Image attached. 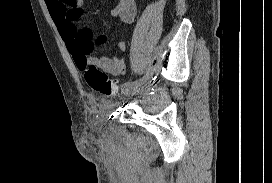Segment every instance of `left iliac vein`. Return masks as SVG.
<instances>
[{
	"label": "left iliac vein",
	"mask_w": 272,
	"mask_h": 183,
	"mask_svg": "<svg viewBox=\"0 0 272 183\" xmlns=\"http://www.w3.org/2000/svg\"><path fill=\"white\" fill-rule=\"evenodd\" d=\"M148 87H149V84L146 85L145 87H142V88H132V89H129V90L125 91V95H127V96H133V95L142 93V92H144Z\"/></svg>",
	"instance_id": "4c4485c4"
}]
</instances>
